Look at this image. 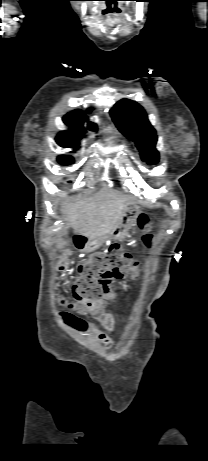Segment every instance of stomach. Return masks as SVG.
<instances>
[{
	"label": "stomach",
	"mask_w": 208,
	"mask_h": 461,
	"mask_svg": "<svg viewBox=\"0 0 208 461\" xmlns=\"http://www.w3.org/2000/svg\"><path fill=\"white\" fill-rule=\"evenodd\" d=\"M137 215L138 212H135L134 208L128 205L119 225L103 238L89 239L84 246V250L88 252L95 251L108 239L122 240L127 236L129 229L134 226Z\"/></svg>",
	"instance_id": "stomach-1"
}]
</instances>
